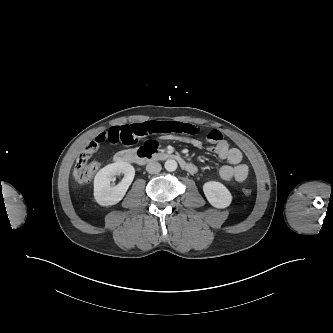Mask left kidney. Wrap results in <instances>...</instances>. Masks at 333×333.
<instances>
[{
	"mask_svg": "<svg viewBox=\"0 0 333 333\" xmlns=\"http://www.w3.org/2000/svg\"><path fill=\"white\" fill-rule=\"evenodd\" d=\"M203 192L208 202L216 208L224 209L232 202L230 191L220 182L209 181L204 183Z\"/></svg>",
	"mask_w": 333,
	"mask_h": 333,
	"instance_id": "left-kidney-1",
	"label": "left kidney"
}]
</instances>
